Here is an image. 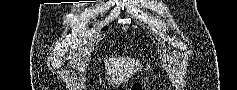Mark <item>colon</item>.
Returning <instances> with one entry per match:
<instances>
[{
    "mask_svg": "<svg viewBox=\"0 0 237 90\" xmlns=\"http://www.w3.org/2000/svg\"><path fill=\"white\" fill-rule=\"evenodd\" d=\"M146 87L140 83L134 84L131 88V90H144Z\"/></svg>",
    "mask_w": 237,
    "mask_h": 90,
    "instance_id": "colon-1",
    "label": "colon"
}]
</instances>
